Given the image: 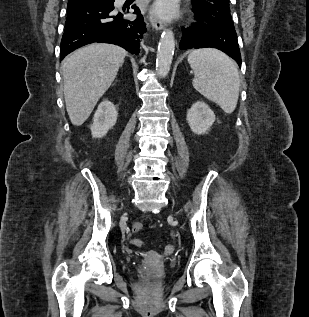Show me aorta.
<instances>
[{"instance_id": "obj_1", "label": "aorta", "mask_w": 309, "mask_h": 317, "mask_svg": "<svg viewBox=\"0 0 309 317\" xmlns=\"http://www.w3.org/2000/svg\"><path fill=\"white\" fill-rule=\"evenodd\" d=\"M175 50V38L172 30H165L158 44L156 67L160 77H166L170 71Z\"/></svg>"}]
</instances>
